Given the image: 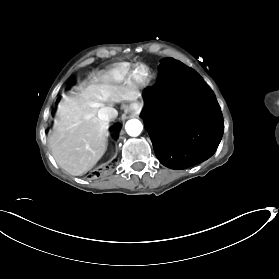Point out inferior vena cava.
<instances>
[{
	"mask_svg": "<svg viewBox=\"0 0 279 279\" xmlns=\"http://www.w3.org/2000/svg\"><path fill=\"white\" fill-rule=\"evenodd\" d=\"M118 112L113 110L111 107H102L98 111V117L100 120L105 121L106 123H109V121H114V119L117 117Z\"/></svg>",
	"mask_w": 279,
	"mask_h": 279,
	"instance_id": "602c4592",
	"label": "inferior vena cava"
}]
</instances>
